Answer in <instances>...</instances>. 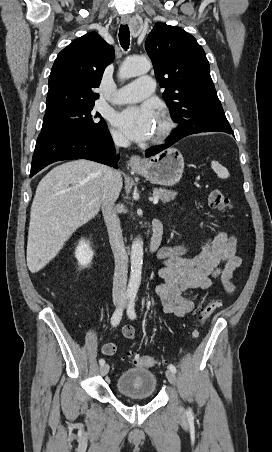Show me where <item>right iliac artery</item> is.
<instances>
[{
	"mask_svg": "<svg viewBox=\"0 0 272 452\" xmlns=\"http://www.w3.org/2000/svg\"><path fill=\"white\" fill-rule=\"evenodd\" d=\"M122 315H123V306L121 305L119 308H117L115 310V312L112 315L111 324H112L113 327H115V326H117L119 324V322H120V320L122 318ZM104 363H105L104 359H100L99 360V364L100 365H103Z\"/></svg>",
	"mask_w": 272,
	"mask_h": 452,
	"instance_id": "82829eb1",
	"label": "right iliac artery"
}]
</instances>
